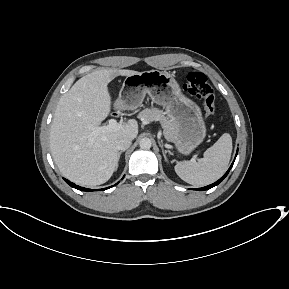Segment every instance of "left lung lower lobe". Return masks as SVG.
<instances>
[{"mask_svg":"<svg viewBox=\"0 0 289 289\" xmlns=\"http://www.w3.org/2000/svg\"><path fill=\"white\" fill-rule=\"evenodd\" d=\"M236 155H237V153H236ZM233 163H234V161H233ZM233 163H232V165L230 166V168L228 169V171H227L218 181H216L215 183H213V184H211V185H208V186H206V187L198 188V189H195V190L204 191V190H208V189H210V188L218 185V184L227 176V174L229 173L231 167L233 166Z\"/></svg>","mask_w":289,"mask_h":289,"instance_id":"obj_1","label":"left lung lower lobe"}]
</instances>
